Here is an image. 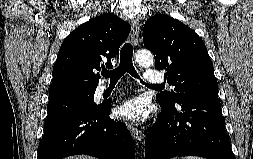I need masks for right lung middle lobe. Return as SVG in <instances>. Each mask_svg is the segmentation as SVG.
Here are the masks:
<instances>
[{
  "instance_id": "obj_1",
  "label": "right lung middle lobe",
  "mask_w": 253,
  "mask_h": 159,
  "mask_svg": "<svg viewBox=\"0 0 253 159\" xmlns=\"http://www.w3.org/2000/svg\"><path fill=\"white\" fill-rule=\"evenodd\" d=\"M94 92L49 100L47 105L48 117L44 127L55 123L66 115L83 108H95L98 105L93 100Z\"/></svg>"
}]
</instances>
